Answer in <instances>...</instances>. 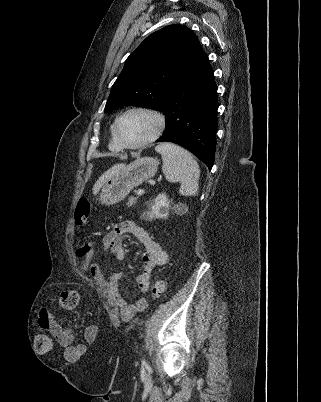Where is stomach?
Returning <instances> with one entry per match:
<instances>
[{"label":"stomach","instance_id":"obj_1","mask_svg":"<svg viewBox=\"0 0 321 402\" xmlns=\"http://www.w3.org/2000/svg\"><path fill=\"white\" fill-rule=\"evenodd\" d=\"M159 161L153 157H141L124 166L99 189V201L113 205L123 200L129 192L144 181L152 178L158 169Z\"/></svg>","mask_w":321,"mask_h":402}]
</instances>
